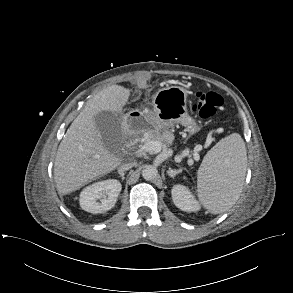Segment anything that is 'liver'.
Wrapping results in <instances>:
<instances>
[{"label": "liver", "instance_id": "6515ba94", "mask_svg": "<svg viewBox=\"0 0 293 293\" xmlns=\"http://www.w3.org/2000/svg\"><path fill=\"white\" fill-rule=\"evenodd\" d=\"M129 96V89L112 85L87 101L58 147L54 163L58 193H72L121 164L122 160L105 146L94 118L101 111L121 112Z\"/></svg>", "mask_w": 293, "mask_h": 293}]
</instances>
